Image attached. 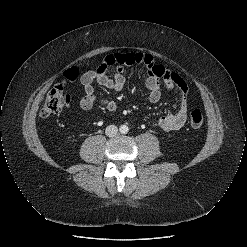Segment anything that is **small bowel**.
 I'll return each mask as SVG.
<instances>
[{
    "instance_id": "c3829d8e",
    "label": "small bowel",
    "mask_w": 247,
    "mask_h": 247,
    "mask_svg": "<svg viewBox=\"0 0 247 247\" xmlns=\"http://www.w3.org/2000/svg\"><path fill=\"white\" fill-rule=\"evenodd\" d=\"M132 65H140L146 70L147 78L145 85L148 90V98L151 102L156 103L161 98V81L167 88L177 91L179 102L176 112L158 117L154 122L164 131H179L187 119L188 86L181 76L168 70L163 65L156 64L153 57L146 53L108 54L96 70H90L82 74L80 81L83 85L85 96L80 100V107L84 110H89L97 102H100L107 111L114 112L117 107L116 102L112 99L101 98L95 92L93 83L96 82L113 91H121L126 82L123 74L124 69ZM110 67L115 68L112 78L107 75V70Z\"/></svg>"
}]
</instances>
